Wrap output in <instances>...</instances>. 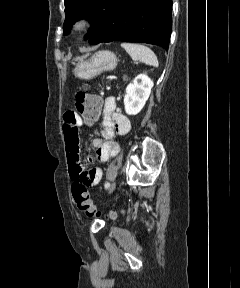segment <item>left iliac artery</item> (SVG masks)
Wrapping results in <instances>:
<instances>
[{
	"label": "left iliac artery",
	"mask_w": 240,
	"mask_h": 288,
	"mask_svg": "<svg viewBox=\"0 0 240 288\" xmlns=\"http://www.w3.org/2000/svg\"><path fill=\"white\" fill-rule=\"evenodd\" d=\"M104 186H105V188L107 189V188H109L110 183L107 181Z\"/></svg>",
	"instance_id": "44dca946"
}]
</instances>
